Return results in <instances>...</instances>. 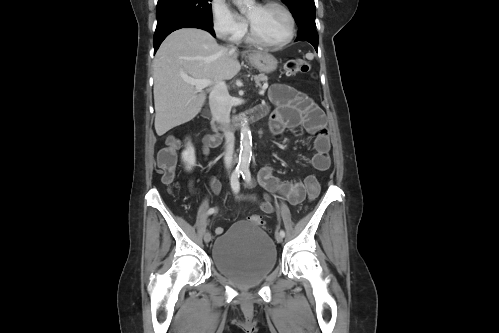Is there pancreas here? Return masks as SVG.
Segmentation results:
<instances>
[{"label": "pancreas", "instance_id": "pancreas-1", "mask_svg": "<svg viewBox=\"0 0 499 333\" xmlns=\"http://www.w3.org/2000/svg\"><path fill=\"white\" fill-rule=\"evenodd\" d=\"M254 80L256 83V86L261 87V82L266 83L268 80V77L265 74H259L254 76Z\"/></svg>", "mask_w": 499, "mask_h": 333}]
</instances>
